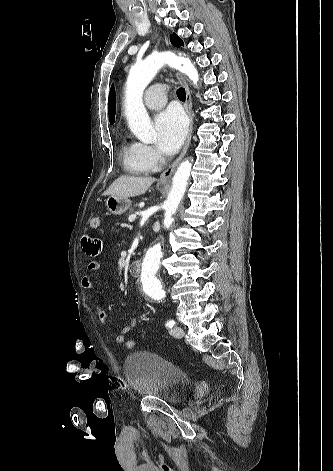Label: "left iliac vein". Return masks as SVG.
<instances>
[{"label": "left iliac vein", "instance_id": "obj_1", "mask_svg": "<svg viewBox=\"0 0 333 471\" xmlns=\"http://www.w3.org/2000/svg\"><path fill=\"white\" fill-rule=\"evenodd\" d=\"M170 334L175 338H182L184 336V330L179 326H175L170 330Z\"/></svg>", "mask_w": 333, "mask_h": 471}]
</instances>
